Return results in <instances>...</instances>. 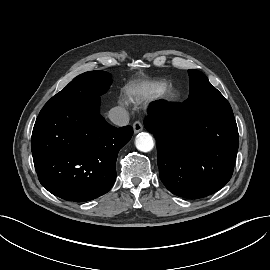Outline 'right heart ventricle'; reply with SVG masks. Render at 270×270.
<instances>
[{"instance_id":"1","label":"right heart ventricle","mask_w":270,"mask_h":270,"mask_svg":"<svg viewBox=\"0 0 270 270\" xmlns=\"http://www.w3.org/2000/svg\"><path fill=\"white\" fill-rule=\"evenodd\" d=\"M167 87L166 83H158L151 87H144L130 93L129 99L133 103H142L153 98Z\"/></svg>"}]
</instances>
